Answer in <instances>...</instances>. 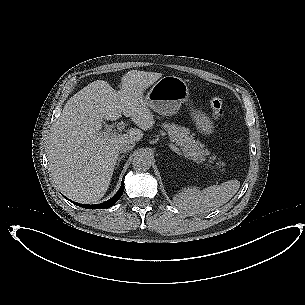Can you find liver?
I'll return each mask as SVG.
<instances>
[{"instance_id": "obj_1", "label": "liver", "mask_w": 305, "mask_h": 305, "mask_svg": "<svg viewBox=\"0 0 305 305\" xmlns=\"http://www.w3.org/2000/svg\"><path fill=\"white\" fill-rule=\"evenodd\" d=\"M160 77L154 74L152 82ZM122 114L142 130L155 124L140 91L125 88L117 92L103 80L90 83L64 105L51 128L47 158L54 182L70 198L82 203L99 201L109 188L120 140L142 138L140 129L126 134L102 131L103 120L114 121Z\"/></svg>"}]
</instances>
